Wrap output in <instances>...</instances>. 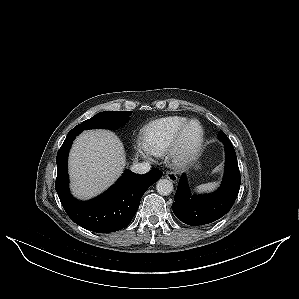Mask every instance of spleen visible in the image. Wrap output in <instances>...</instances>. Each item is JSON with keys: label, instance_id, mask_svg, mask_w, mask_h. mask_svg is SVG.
<instances>
[{"label": "spleen", "instance_id": "obj_1", "mask_svg": "<svg viewBox=\"0 0 299 299\" xmlns=\"http://www.w3.org/2000/svg\"><path fill=\"white\" fill-rule=\"evenodd\" d=\"M217 182H209L205 184H201L194 188V191L197 193H205L214 190L217 186Z\"/></svg>", "mask_w": 299, "mask_h": 299}]
</instances>
